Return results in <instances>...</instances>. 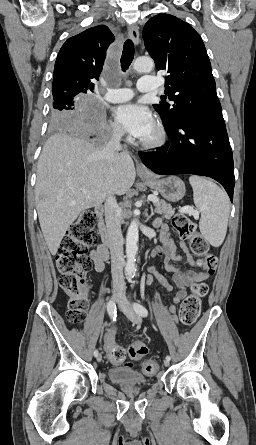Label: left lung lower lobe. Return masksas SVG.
<instances>
[{
	"mask_svg": "<svg viewBox=\"0 0 256 445\" xmlns=\"http://www.w3.org/2000/svg\"><path fill=\"white\" fill-rule=\"evenodd\" d=\"M164 127L169 143L156 152H139L143 163L157 174L211 177L233 201V156L223 116L184 112Z\"/></svg>",
	"mask_w": 256,
	"mask_h": 445,
	"instance_id": "left-lung-lower-lobe-1",
	"label": "left lung lower lobe"
}]
</instances>
